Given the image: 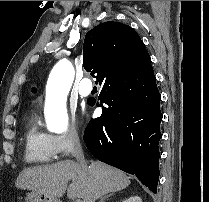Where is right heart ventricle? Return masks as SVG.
Masks as SVG:
<instances>
[{
  "instance_id": "obj_1",
  "label": "right heart ventricle",
  "mask_w": 209,
  "mask_h": 202,
  "mask_svg": "<svg viewBox=\"0 0 209 202\" xmlns=\"http://www.w3.org/2000/svg\"><path fill=\"white\" fill-rule=\"evenodd\" d=\"M24 143V156L28 163L43 164L57 158L50 135L40 130L35 120H31L26 128Z\"/></svg>"
}]
</instances>
